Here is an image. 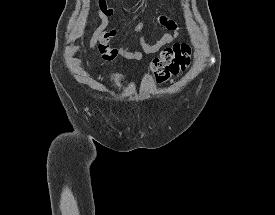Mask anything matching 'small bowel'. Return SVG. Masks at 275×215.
<instances>
[{
	"mask_svg": "<svg viewBox=\"0 0 275 215\" xmlns=\"http://www.w3.org/2000/svg\"><path fill=\"white\" fill-rule=\"evenodd\" d=\"M97 12L101 19V23L90 39L89 48L97 51L105 61H113L118 55L127 60H141L143 58V53L153 54L163 46L175 42L179 36L178 25L174 21L164 16H160L157 19L158 23L171 32L163 34L157 42L150 44L140 35L143 26V20H140L131 29V34L137 36L140 49H133L128 46L115 48L111 46V43L117 36V31H105L108 18L114 14V9L109 7L106 1L100 0L97 6Z\"/></svg>",
	"mask_w": 275,
	"mask_h": 215,
	"instance_id": "small-bowel-1",
	"label": "small bowel"
}]
</instances>
